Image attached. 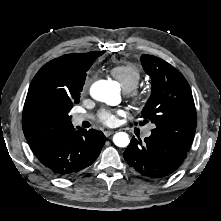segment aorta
Wrapping results in <instances>:
<instances>
[{"mask_svg":"<svg viewBox=\"0 0 221 221\" xmlns=\"http://www.w3.org/2000/svg\"><path fill=\"white\" fill-rule=\"evenodd\" d=\"M118 88L110 81L99 80L90 88V95L95 100L113 105L119 100ZM113 142L118 147L128 146L130 140L125 132H118L113 136Z\"/></svg>","mask_w":221,"mask_h":221,"instance_id":"obj_1","label":"aorta"}]
</instances>
